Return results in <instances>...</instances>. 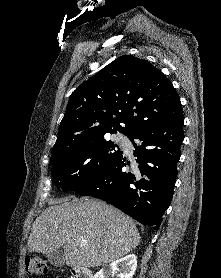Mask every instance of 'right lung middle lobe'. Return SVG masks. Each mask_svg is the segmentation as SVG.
I'll list each match as a JSON object with an SVG mask.
<instances>
[{"mask_svg": "<svg viewBox=\"0 0 221 278\" xmlns=\"http://www.w3.org/2000/svg\"><path fill=\"white\" fill-rule=\"evenodd\" d=\"M115 147L103 136H96L53 151L50 164H54L51 173L57 188L75 191L94 179L122 153L109 152Z\"/></svg>", "mask_w": 221, "mask_h": 278, "instance_id": "obj_1", "label": "right lung middle lobe"}]
</instances>
